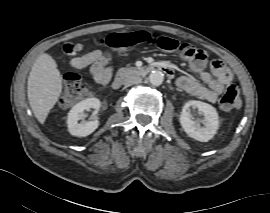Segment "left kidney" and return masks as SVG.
<instances>
[{"label":"left kidney","mask_w":270,"mask_h":213,"mask_svg":"<svg viewBox=\"0 0 270 213\" xmlns=\"http://www.w3.org/2000/svg\"><path fill=\"white\" fill-rule=\"evenodd\" d=\"M191 107L194 109L197 108L203 114V127L192 120L190 112ZM180 124L185 133L191 138L201 142H208L214 137L219 128L218 113L210 104L202 101L191 100L187 102L182 109Z\"/></svg>","instance_id":"5707ae66"}]
</instances>
